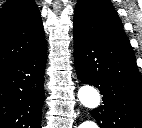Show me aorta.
<instances>
[{"label":"aorta","instance_id":"obj_1","mask_svg":"<svg viewBox=\"0 0 142 128\" xmlns=\"http://www.w3.org/2000/svg\"><path fill=\"white\" fill-rule=\"evenodd\" d=\"M78 100L80 103L89 108L95 109L100 105L101 98L99 92L92 86L84 85L78 90ZM79 128H97V124L93 121L83 122Z\"/></svg>","mask_w":142,"mask_h":128}]
</instances>
